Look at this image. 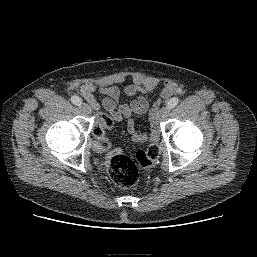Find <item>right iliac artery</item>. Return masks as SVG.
Returning <instances> with one entry per match:
<instances>
[{"label":"right iliac artery","mask_w":257,"mask_h":257,"mask_svg":"<svg viewBox=\"0 0 257 257\" xmlns=\"http://www.w3.org/2000/svg\"><path fill=\"white\" fill-rule=\"evenodd\" d=\"M71 102L74 105L79 106L81 104L82 100L78 96L74 95V96L71 97Z\"/></svg>","instance_id":"1"}]
</instances>
